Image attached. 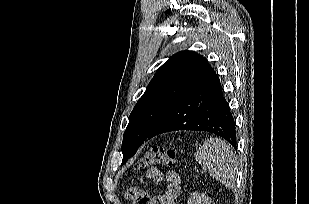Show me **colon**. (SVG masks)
<instances>
[{"label": "colon", "instance_id": "obj_1", "mask_svg": "<svg viewBox=\"0 0 309 204\" xmlns=\"http://www.w3.org/2000/svg\"><path fill=\"white\" fill-rule=\"evenodd\" d=\"M176 162V153L173 149L153 146L143 155L136 167L142 169L152 166H174ZM145 201V198H140L139 204H144Z\"/></svg>", "mask_w": 309, "mask_h": 204}]
</instances>
